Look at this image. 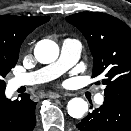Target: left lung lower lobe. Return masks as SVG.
Instances as JSON below:
<instances>
[{"mask_svg":"<svg viewBox=\"0 0 131 131\" xmlns=\"http://www.w3.org/2000/svg\"><path fill=\"white\" fill-rule=\"evenodd\" d=\"M77 131H131V105L105 97L103 105L76 125Z\"/></svg>","mask_w":131,"mask_h":131,"instance_id":"obj_1","label":"left lung lower lobe"}]
</instances>
